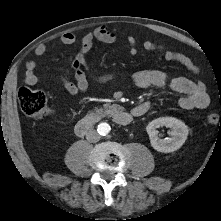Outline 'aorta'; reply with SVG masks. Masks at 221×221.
<instances>
[{
	"label": "aorta",
	"mask_w": 221,
	"mask_h": 221,
	"mask_svg": "<svg viewBox=\"0 0 221 221\" xmlns=\"http://www.w3.org/2000/svg\"><path fill=\"white\" fill-rule=\"evenodd\" d=\"M110 129L111 128H110L109 124H107V123H101L98 125V128H97L98 133L103 136L107 135L110 132Z\"/></svg>",
	"instance_id": "obj_1"
}]
</instances>
